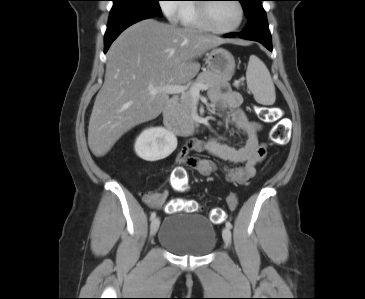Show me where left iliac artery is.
Segmentation results:
<instances>
[{
	"label": "left iliac artery",
	"mask_w": 365,
	"mask_h": 299,
	"mask_svg": "<svg viewBox=\"0 0 365 299\" xmlns=\"http://www.w3.org/2000/svg\"><path fill=\"white\" fill-rule=\"evenodd\" d=\"M226 227L229 228V229H231L232 228V224L229 221H227L226 222Z\"/></svg>",
	"instance_id": "left-iliac-artery-1"
}]
</instances>
